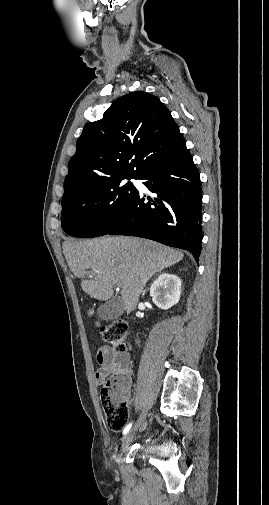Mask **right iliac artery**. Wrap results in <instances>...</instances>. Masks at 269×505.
<instances>
[{"instance_id": "obj_1", "label": "right iliac artery", "mask_w": 269, "mask_h": 505, "mask_svg": "<svg viewBox=\"0 0 269 505\" xmlns=\"http://www.w3.org/2000/svg\"><path fill=\"white\" fill-rule=\"evenodd\" d=\"M131 426H132V423H129V424L125 427V429L123 430V435H126V434L129 432V430H130Z\"/></svg>"}]
</instances>
